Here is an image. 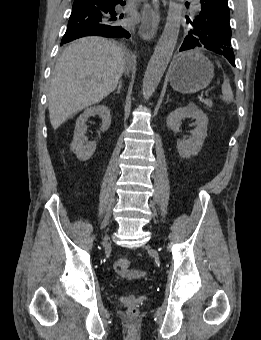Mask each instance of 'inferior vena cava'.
Instances as JSON below:
<instances>
[{
    "label": "inferior vena cava",
    "mask_w": 261,
    "mask_h": 340,
    "mask_svg": "<svg viewBox=\"0 0 261 340\" xmlns=\"http://www.w3.org/2000/svg\"><path fill=\"white\" fill-rule=\"evenodd\" d=\"M120 49L122 50V52H123L124 54H126V51H125L124 47L121 46Z\"/></svg>",
    "instance_id": "inferior-vena-cava-1"
}]
</instances>
